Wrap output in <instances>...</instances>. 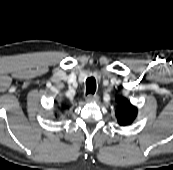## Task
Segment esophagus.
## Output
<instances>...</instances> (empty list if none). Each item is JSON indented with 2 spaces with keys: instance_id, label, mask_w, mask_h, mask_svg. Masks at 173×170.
Segmentation results:
<instances>
[{
  "instance_id": "1",
  "label": "esophagus",
  "mask_w": 173,
  "mask_h": 170,
  "mask_svg": "<svg viewBox=\"0 0 173 170\" xmlns=\"http://www.w3.org/2000/svg\"><path fill=\"white\" fill-rule=\"evenodd\" d=\"M85 100L88 103L97 102L99 100V96L97 94H88Z\"/></svg>"
}]
</instances>
